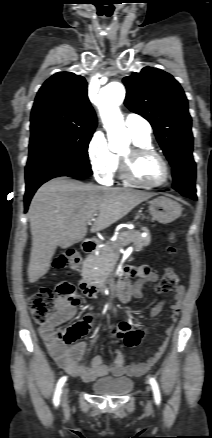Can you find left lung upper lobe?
Wrapping results in <instances>:
<instances>
[{
    "label": "left lung upper lobe",
    "mask_w": 212,
    "mask_h": 438,
    "mask_svg": "<svg viewBox=\"0 0 212 438\" xmlns=\"http://www.w3.org/2000/svg\"><path fill=\"white\" fill-rule=\"evenodd\" d=\"M125 105L147 119L169 162L192 153L193 135L187 98L180 84L167 72L145 67L125 77Z\"/></svg>",
    "instance_id": "obj_1"
}]
</instances>
